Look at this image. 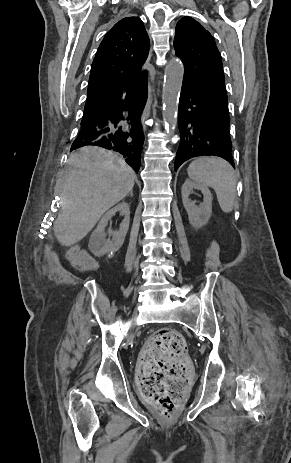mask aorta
Masks as SVG:
<instances>
[{"label": "aorta", "instance_id": "aorta-1", "mask_svg": "<svg viewBox=\"0 0 291 463\" xmlns=\"http://www.w3.org/2000/svg\"><path fill=\"white\" fill-rule=\"evenodd\" d=\"M166 79L163 85V120L170 133L177 125L178 102L182 87L184 67L183 64L174 59L165 68Z\"/></svg>", "mask_w": 291, "mask_h": 463}]
</instances>
